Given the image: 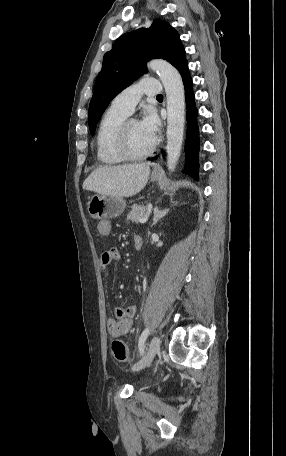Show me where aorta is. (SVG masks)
<instances>
[{
  "label": "aorta",
  "instance_id": "aorta-1",
  "mask_svg": "<svg viewBox=\"0 0 286 456\" xmlns=\"http://www.w3.org/2000/svg\"><path fill=\"white\" fill-rule=\"evenodd\" d=\"M156 71L165 88L167 99V168L173 172L178 163L184 136L185 91L178 70L165 60L156 59L148 63Z\"/></svg>",
  "mask_w": 286,
  "mask_h": 456
}]
</instances>
